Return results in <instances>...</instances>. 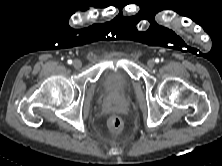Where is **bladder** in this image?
<instances>
[{"label": "bladder", "instance_id": "bladder-1", "mask_svg": "<svg viewBox=\"0 0 222 166\" xmlns=\"http://www.w3.org/2000/svg\"><path fill=\"white\" fill-rule=\"evenodd\" d=\"M98 85L104 98L117 101L128 94L131 80L122 70H110L99 77Z\"/></svg>", "mask_w": 222, "mask_h": 166}]
</instances>
